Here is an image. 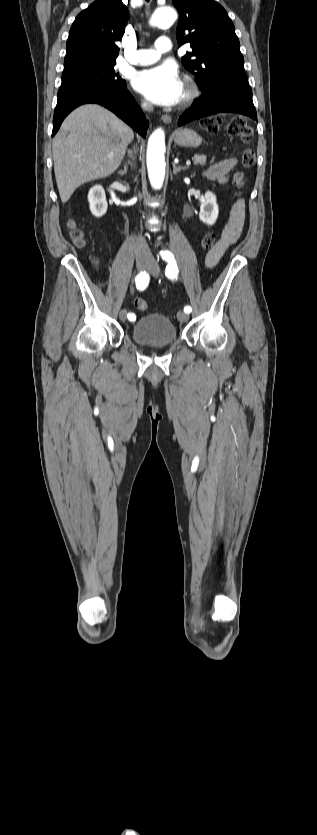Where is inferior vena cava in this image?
Segmentation results:
<instances>
[{
	"label": "inferior vena cava",
	"mask_w": 317,
	"mask_h": 835,
	"mask_svg": "<svg viewBox=\"0 0 317 835\" xmlns=\"http://www.w3.org/2000/svg\"><path fill=\"white\" fill-rule=\"evenodd\" d=\"M142 109H144L146 111H153V106H152V104L145 102V103L142 104ZM135 253H136V257H138V258H141V257L148 258L151 255L149 247L146 243V240L141 235H138L137 238H136Z\"/></svg>",
	"instance_id": "inferior-vena-cava-1"
}]
</instances>
